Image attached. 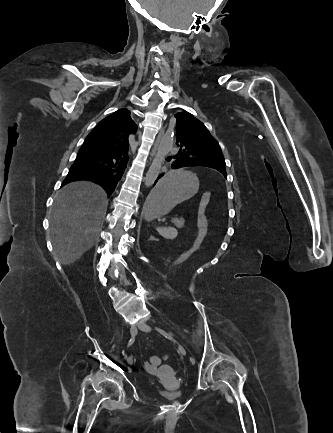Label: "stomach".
<instances>
[{
    "label": "stomach",
    "instance_id": "0dacf381",
    "mask_svg": "<svg viewBox=\"0 0 333 433\" xmlns=\"http://www.w3.org/2000/svg\"><path fill=\"white\" fill-rule=\"evenodd\" d=\"M194 169H170L169 174L159 176V183H152L147 195L143 220H165L177 204L193 199L198 191V180Z\"/></svg>",
    "mask_w": 333,
    "mask_h": 433
}]
</instances>
